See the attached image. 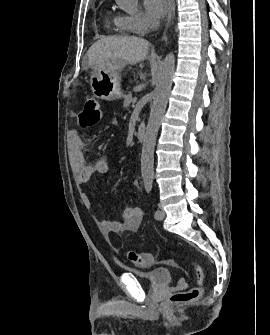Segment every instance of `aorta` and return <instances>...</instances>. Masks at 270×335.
I'll return each mask as SVG.
<instances>
[{
    "label": "aorta",
    "mask_w": 270,
    "mask_h": 335,
    "mask_svg": "<svg viewBox=\"0 0 270 335\" xmlns=\"http://www.w3.org/2000/svg\"><path fill=\"white\" fill-rule=\"evenodd\" d=\"M174 70L175 58L173 54H168L156 74L155 90L152 92L153 104L151 106V112L142 144L141 175L144 181H152L154 177V148L156 144V136L160 128L161 120L165 114Z\"/></svg>",
    "instance_id": "obj_1"
}]
</instances>
